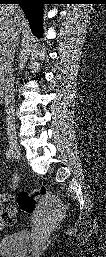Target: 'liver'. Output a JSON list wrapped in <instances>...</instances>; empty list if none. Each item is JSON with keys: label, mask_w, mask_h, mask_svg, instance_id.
Segmentation results:
<instances>
[{"label": "liver", "mask_w": 106, "mask_h": 257, "mask_svg": "<svg viewBox=\"0 0 106 257\" xmlns=\"http://www.w3.org/2000/svg\"><path fill=\"white\" fill-rule=\"evenodd\" d=\"M25 18L22 10L14 5H2L0 9V41L4 42L10 27L17 24L21 27Z\"/></svg>", "instance_id": "6515ba94"}]
</instances>
